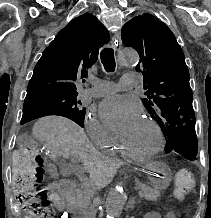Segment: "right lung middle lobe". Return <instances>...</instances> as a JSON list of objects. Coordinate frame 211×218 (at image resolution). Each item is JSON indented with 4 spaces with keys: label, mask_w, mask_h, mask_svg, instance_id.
I'll list each match as a JSON object with an SVG mask.
<instances>
[{
    "label": "right lung middle lobe",
    "mask_w": 211,
    "mask_h": 218,
    "mask_svg": "<svg viewBox=\"0 0 211 218\" xmlns=\"http://www.w3.org/2000/svg\"><path fill=\"white\" fill-rule=\"evenodd\" d=\"M78 94H64L44 97L25 102L21 124L46 115H60L84 126L85 108L77 100Z\"/></svg>",
    "instance_id": "1"
}]
</instances>
